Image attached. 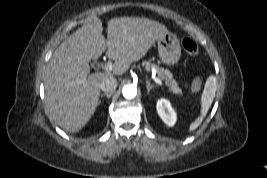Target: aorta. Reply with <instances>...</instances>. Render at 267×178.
Segmentation results:
<instances>
[{
	"instance_id": "762f6f07",
	"label": "aorta",
	"mask_w": 267,
	"mask_h": 178,
	"mask_svg": "<svg viewBox=\"0 0 267 178\" xmlns=\"http://www.w3.org/2000/svg\"><path fill=\"white\" fill-rule=\"evenodd\" d=\"M122 94L126 99H133L137 95V87L133 84L125 85L122 89Z\"/></svg>"
}]
</instances>
